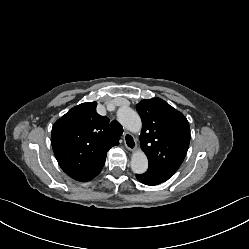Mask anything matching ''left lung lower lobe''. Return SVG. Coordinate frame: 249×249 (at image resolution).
I'll return each mask as SVG.
<instances>
[{
  "label": "left lung lower lobe",
  "mask_w": 249,
  "mask_h": 249,
  "mask_svg": "<svg viewBox=\"0 0 249 249\" xmlns=\"http://www.w3.org/2000/svg\"><path fill=\"white\" fill-rule=\"evenodd\" d=\"M136 177L141 183L154 186L167 181L171 176L148 169L145 173L136 175Z\"/></svg>",
  "instance_id": "obj_1"
}]
</instances>
